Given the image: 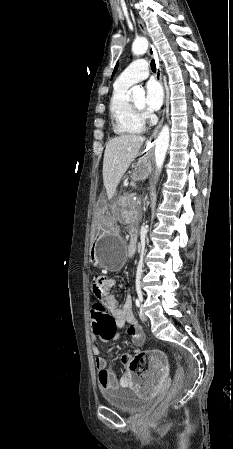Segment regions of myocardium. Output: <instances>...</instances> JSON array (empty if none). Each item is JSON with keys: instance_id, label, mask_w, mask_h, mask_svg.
Here are the masks:
<instances>
[{"instance_id": "myocardium-1", "label": "myocardium", "mask_w": 233, "mask_h": 449, "mask_svg": "<svg viewBox=\"0 0 233 449\" xmlns=\"http://www.w3.org/2000/svg\"><path fill=\"white\" fill-rule=\"evenodd\" d=\"M130 105L132 110L139 116L142 117L144 116V108H140L137 105H135L132 101H130Z\"/></svg>"}]
</instances>
